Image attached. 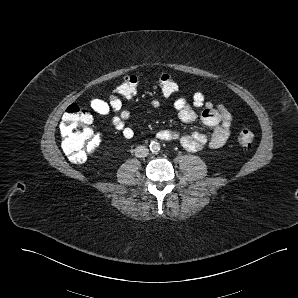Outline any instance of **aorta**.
I'll use <instances>...</instances> for the list:
<instances>
[{"label": "aorta", "instance_id": "aorta-1", "mask_svg": "<svg viewBox=\"0 0 298 298\" xmlns=\"http://www.w3.org/2000/svg\"><path fill=\"white\" fill-rule=\"evenodd\" d=\"M149 148H150L151 152L157 153L160 151L161 145L158 141H152L149 145Z\"/></svg>", "mask_w": 298, "mask_h": 298}]
</instances>
